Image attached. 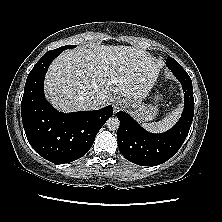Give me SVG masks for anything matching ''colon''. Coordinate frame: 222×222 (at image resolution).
<instances>
[{"label":"colon","instance_id":"colon-1","mask_svg":"<svg viewBox=\"0 0 222 222\" xmlns=\"http://www.w3.org/2000/svg\"><path fill=\"white\" fill-rule=\"evenodd\" d=\"M170 88H173V85H172V84H170Z\"/></svg>","mask_w":222,"mask_h":222}]
</instances>
